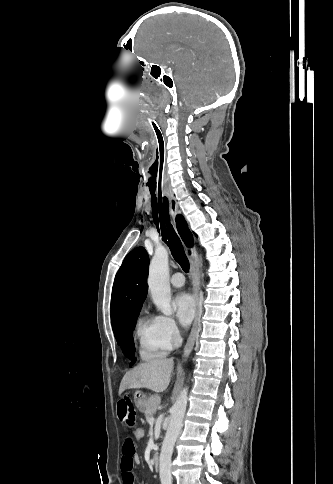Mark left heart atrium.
Wrapping results in <instances>:
<instances>
[{
  "instance_id": "left-heart-atrium-1",
  "label": "left heart atrium",
  "mask_w": 333,
  "mask_h": 484,
  "mask_svg": "<svg viewBox=\"0 0 333 484\" xmlns=\"http://www.w3.org/2000/svg\"><path fill=\"white\" fill-rule=\"evenodd\" d=\"M177 319L183 326H188L195 315L194 299L187 293H178L173 301Z\"/></svg>"
}]
</instances>
